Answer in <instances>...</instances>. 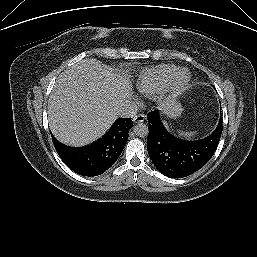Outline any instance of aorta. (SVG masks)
Returning a JSON list of instances; mask_svg holds the SVG:
<instances>
[{
	"mask_svg": "<svg viewBox=\"0 0 257 257\" xmlns=\"http://www.w3.org/2000/svg\"><path fill=\"white\" fill-rule=\"evenodd\" d=\"M134 133L139 137H146L148 135V126L144 123H138L133 128Z\"/></svg>",
	"mask_w": 257,
	"mask_h": 257,
	"instance_id": "obj_1",
	"label": "aorta"
}]
</instances>
